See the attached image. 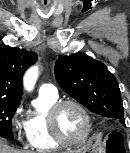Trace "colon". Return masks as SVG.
I'll use <instances>...</instances> for the list:
<instances>
[{"instance_id": "obj_1", "label": "colon", "mask_w": 130, "mask_h": 153, "mask_svg": "<svg viewBox=\"0 0 130 153\" xmlns=\"http://www.w3.org/2000/svg\"><path fill=\"white\" fill-rule=\"evenodd\" d=\"M107 153H124L123 138L117 133H111L106 140Z\"/></svg>"}]
</instances>
